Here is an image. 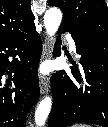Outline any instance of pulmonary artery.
<instances>
[{
    "mask_svg": "<svg viewBox=\"0 0 108 127\" xmlns=\"http://www.w3.org/2000/svg\"><path fill=\"white\" fill-rule=\"evenodd\" d=\"M66 39L68 41L70 50L76 53V45H75L73 38L70 35H67Z\"/></svg>",
    "mask_w": 108,
    "mask_h": 127,
    "instance_id": "obj_1",
    "label": "pulmonary artery"
}]
</instances>
